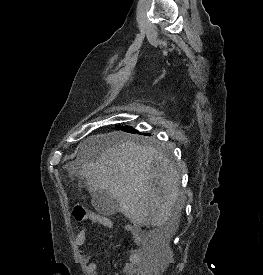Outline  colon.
Instances as JSON below:
<instances>
[{"label":"colon","instance_id":"obj_1","mask_svg":"<svg viewBox=\"0 0 263 275\" xmlns=\"http://www.w3.org/2000/svg\"><path fill=\"white\" fill-rule=\"evenodd\" d=\"M72 214L77 221H98L99 220V218L96 215L88 212L87 210H85L83 207L79 205L74 207ZM163 252L164 250L161 247H157V246L150 247L149 254L151 256V263H152L151 274L156 272L160 262V255Z\"/></svg>","mask_w":263,"mask_h":275}]
</instances>
